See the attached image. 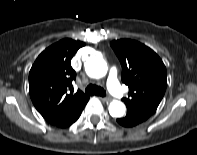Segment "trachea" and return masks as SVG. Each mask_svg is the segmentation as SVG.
I'll use <instances>...</instances> for the list:
<instances>
[{
    "label": "trachea",
    "instance_id": "1",
    "mask_svg": "<svg viewBox=\"0 0 197 155\" xmlns=\"http://www.w3.org/2000/svg\"><path fill=\"white\" fill-rule=\"evenodd\" d=\"M85 92L88 95H97L102 97L106 95V92L102 87L93 84L88 85Z\"/></svg>",
    "mask_w": 197,
    "mask_h": 155
}]
</instances>
